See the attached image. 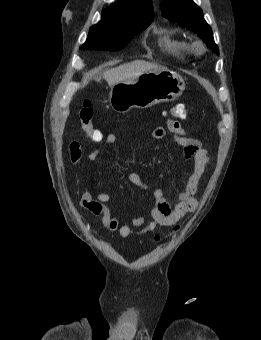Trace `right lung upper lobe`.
Segmentation results:
<instances>
[{
	"label": "right lung upper lobe",
	"mask_w": 261,
	"mask_h": 340,
	"mask_svg": "<svg viewBox=\"0 0 261 340\" xmlns=\"http://www.w3.org/2000/svg\"><path fill=\"white\" fill-rule=\"evenodd\" d=\"M153 5L150 0H120L109 9H104V21H152Z\"/></svg>",
	"instance_id": "1"
}]
</instances>
